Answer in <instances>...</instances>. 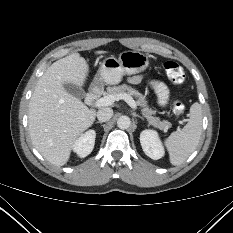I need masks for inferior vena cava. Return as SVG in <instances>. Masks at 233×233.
I'll use <instances>...</instances> for the list:
<instances>
[{
  "instance_id": "602c4592",
  "label": "inferior vena cava",
  "mask_w": 233,
  "mask_h": 233,
  "mask_svg": "<svg viewBox=\"0 0 233 233\" xmlns=\"http://www.w3.org/2000/svg\"><path fill=\"white\" fill-rule=\"evenodd\" d=\"M113 115V110L111 108H101L97 112V118L101 122L108 121Z\"/></svg>"
}]
</instances>
